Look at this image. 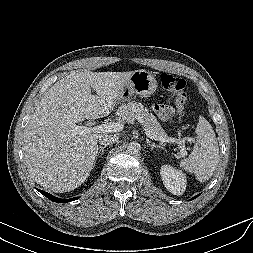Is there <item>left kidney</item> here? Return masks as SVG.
<instances>
[{"instance_id": "obj_1", "label": "left kidney", "mask_w": 253, "mask_h": 253, "mask_svg": "<svg viewBox=\"0 0 253 253\" xmlns=\"http://www.w3.org/2000/svg\"><path fill=\"white\" fill-rule=\"evenodd\" d=\"M161 179L166 189L174 195H182L186 189V176L180 170L170 165L160 169Z\"/></svg>"}]
</instances>
